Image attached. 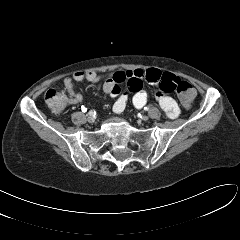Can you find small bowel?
Wrapping results in <instances>:
<instances>
[{
  "mask_svg": "<svg viewBox=\"0 0 240 240\" xmlns=\"http://www.w3.org/2000/svg\"><path fill=\"white\" fill-rule=\"evenodd\" d=\"M88 81L90 83L102 82V91L116 97L113 111L120 114L128 103V94L132 93V103L135 108H142L148 99L147 92L143 89L144 83L156 87L155 98L168 118L174 119L180 113L177 102L169 95L175 89L180 79L170 72H162L159 69H135L116 71L109 76H102L94 71H77L63 81L65 90L70 96L71 103H79L83 96L74 88V82ZM125 84L126 91H122L121 85Z\"/></svg>",
  "mask_w": 240,
  "mask_h": 240,
  "instance_id": "small-bowel-1",
  "label": "small bowel"
}]
</instances>
